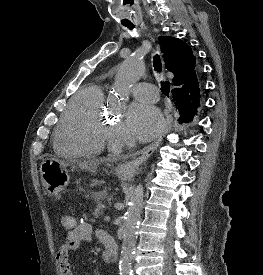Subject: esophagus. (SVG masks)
<instances>
[{
	"mask_svg": "<svg viewBox=\"0 0 263 275\" xmlns=\"http://www.w3.org/2000/svg\"><path fill=\"white\" fill-rule=\"evenodd\" d=\"M168 126H169V121L168 119H166L164 122V129L161 132V134L158 136V138L153 143L145 147L139 157L120 165L119 172L126 177H133L136 174L139 166L143 162H145L157 149V147L163 140V136L168 131Z\"/></svg>",
	"mask_w": 263,
	"mask_h": 275,
	"instance_id": "1",
	"label": "esophagus"
}]
</instances>
